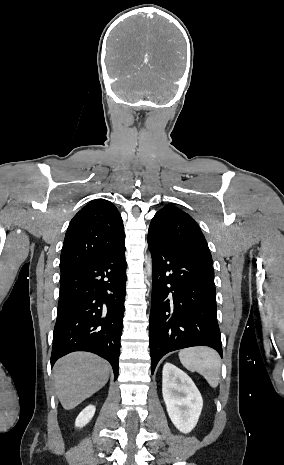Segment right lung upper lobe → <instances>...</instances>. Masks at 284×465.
Returning a JSON list of instances; mask_svg holds the SVG:
<instances>
[{
    "mask_svg": "<svg viewBox=\"0 0 284 465\" xmlns=\"http://www.w3.org/2000/svg\"><path fill=\"white\" fill-rule=\"evenodd\" d=\"M124 238L117 208L105 199L91 201L69 224L60 258L61 274L103 258L122 246Z\"/></svg>",
    "mask_w": 284,
    "mask_h": 465,
    "instance_id": "obj_1",
    "label": "right lung upper lobe"
}]
</instances>
